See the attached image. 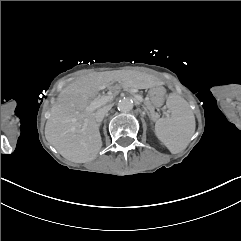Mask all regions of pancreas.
<instances>
[{
	"mask_svg": "<svg viewBox=\"0 0 241 241\" xmlns=\"http://www.w3.org/2000/svg\"><path fill=\"white\" fill-rule=\"evenodd\" d=\"M131 91V90H130ZM133 93V92H132ZM138 95V94H137ZM140 96V95H139ZM143 98V97H142ZM144 100H146V99H144ZM147 104H148V102H147ZM144 108L146 109V110H148L149 111V113H154V108L153 107H148V106H144ZM153 118V117H152Z\"/></svg>",
	"mask_w": 241,
	"mask_h": 241,
	"instance_id": "1",
	"label": "pancreas"
}]
</instances>
